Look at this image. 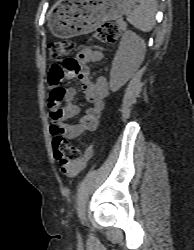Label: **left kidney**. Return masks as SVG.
Returning a JSON list of instances; mask_svg holds the SVG:
<instances>
[{
    "instance_id": "obj_1",
    "label": "left kidney",
    "mask_w": 194,
    "mask_h": 250,
    "mask_svg": "<svg viewBox=\"0 0 194 250\" xmlns=\"http://www.w3.org/2000/svg\"><path fill=\"white\" fill-rule=\"evenodd\" d=\"M146 52L145 41L133 31H126L116 52L110 74V87L123 86L138 70Z\"/></svg>"
}]
</instances>
